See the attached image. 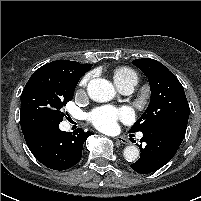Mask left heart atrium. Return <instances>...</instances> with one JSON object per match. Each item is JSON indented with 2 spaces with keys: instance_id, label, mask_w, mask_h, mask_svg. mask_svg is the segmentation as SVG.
<instances>
[{
  "instance_id": "left-heart-atrium-1",
  "label": "left heart atrium",
  "mask_w": 201,
  "mask_h": 201,
  "mask_svg": "<svg viewBox=\"0 0 201 201\" xmlns=\"http://www.w3.org/2000/svg\"><path fill=\"white\" fill-rule=\"evenodd\" d=\"M131 117L132 113L129 109H116L109 106L96 108L89 115L91 123L105 132L114 130L119 120H129Z\"/></svg>"
}]
</instances>
